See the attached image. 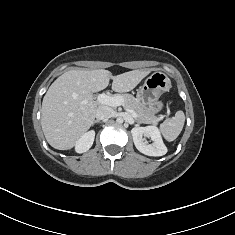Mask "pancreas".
I'll use <instances>...</instances> for the list:
<instances>
[{
  "label": "pancreas",
  "mask_w": 235,
  "mask_h": 235,
  "mask_svg": "<svg viewBox=\"0 0 235 235\" xmlns=\"http://www.w3.org/2000/svg\"><path fill=\"white\" fill-rule=\"evenodd\" d=\"M117 96V95H116ZM124 100V108L133 110L137 114L136 120L144 124H157L161 117H156L154 113L145 108L135 97L130 94H119Z\"/></svg>",
  "instance_id": "obj_1"
}]
</instances>
